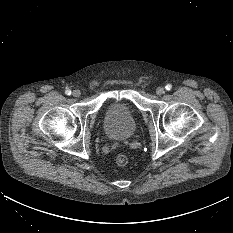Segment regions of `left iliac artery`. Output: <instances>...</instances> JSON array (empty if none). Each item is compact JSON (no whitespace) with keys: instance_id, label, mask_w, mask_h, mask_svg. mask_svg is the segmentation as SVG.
I'll list each match as a JSON object with an SVG mask.
<instances>
[{"instance_id":"obj_1","label":"left iliac artery","mask_w":233,"mask_h":233,"mask_svg":"<svg viewBox=\"0 0 233 233\" xmlns=\"http://www.w3.org/2000/svg\"><path fill=\"white\" fill-rule=\"evenodd\" d=\"M165 89H166L167 91L171 90V89H172V85H171V84H167V85L165 86Z\"/></svg>"}]
</instances>
